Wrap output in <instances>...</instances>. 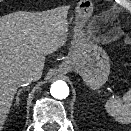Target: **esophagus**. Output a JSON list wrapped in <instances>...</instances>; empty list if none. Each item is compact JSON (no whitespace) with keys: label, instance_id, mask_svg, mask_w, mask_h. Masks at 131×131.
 <instances>
[{"label":"esophagus","instance_id":"obj_1","mask_svg":"<svg viewBox=\"0 0 131 131\" xmlns=\"http://www.w3.org/2000/svg\"><path fill=\"white\" fill-rule=\"evenodd\" d=\"M66 67H67L66 65H63V67H62V72H66V70H67Z\"/></svg>","mask_w":131,"mask_h":131}]
</instances>
